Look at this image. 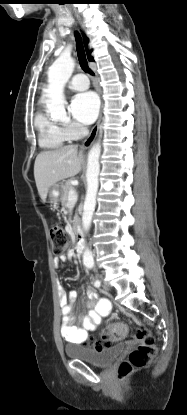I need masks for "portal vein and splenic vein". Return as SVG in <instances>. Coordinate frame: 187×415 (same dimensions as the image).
Masks as SVG:
<instances>
[{
    "label": "portal vein and splenic vein",
    "mask_w": 187,
    "mask_h": 415,
    "mask_svg": "<svg viewBox=\"0 0 187 415\" xmlns=\"http://www.w3.org/2000/svg\"><path fill=\"white\" fill-rule=\"evenodd\" d=\"M77 199H78L77 192L74 189H71L69 192V197H68L69 204L76 203Z\"/></svg>",
    "instance_id": "18ae733b"
}]
</instances>
